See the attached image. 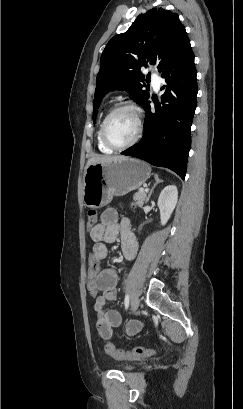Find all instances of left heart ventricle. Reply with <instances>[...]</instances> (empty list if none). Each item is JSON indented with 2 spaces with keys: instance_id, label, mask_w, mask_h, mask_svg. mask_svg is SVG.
Returning a JSON list of instances; mask_svg holds the SVG:
<instances>
[{
  "instance_id": "obj_1",
  "label": "left heart ventricle",
  "mask_w": 243,
  "mask_h": 409,
  "mask_svg": "<svg viewBox=\"0 0 243 409\" xmlns=\"http://www.w3.org/2000/svg\"><path fill=\"white\" fill-rule=\"evenodd\" d=\"M136 130V119L129 110H122L116 113L107 125L108 137L117 145L130 141L135 136Z\"/></svg>"
}]
</instances>
